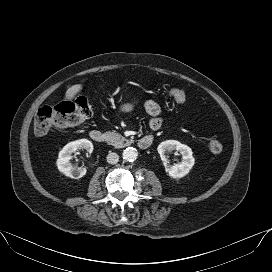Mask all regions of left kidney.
Segmentation results:
<instances>
[{
	"instance_id": "obj_1",
	"label": "left kidney",
	"mask_w": 272,
	"mask_h": 272,
	"mask_svg": "<svg viewBox=\"0 0 272 272\" xmlns=\"http://www.w3.org/2000/svg\"><path fill=\"white\" fill-rule=\"evenodd\" d=\"M158 153L161 160L164 162L165 170L172 178H182L186 176L195 164V159L192 156V150L185 144L176 140H166L159 144ZM177 150L183 158V161L174 165H168V158L166 152Z\"/></svg>"
}]
</instances>
